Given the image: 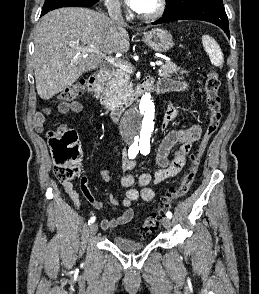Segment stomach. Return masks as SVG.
<instances>
[{
    "label": "stomach",
    "instance_id": "0dacf381",
    "mask_svg": "<svg viewBox=\"0 0 259 294\" xmlns=\"http://www.w3.org/2000/svg\"><path fill=\"white\" fill-rule=\"evenodd\" d=\"M143 40L150 49L159 53H165L174 46L172 35L164 29L144 32Z\"/></svg>",
    "mask_w": 259,
    "mask_h": 294
}]
</instances>
